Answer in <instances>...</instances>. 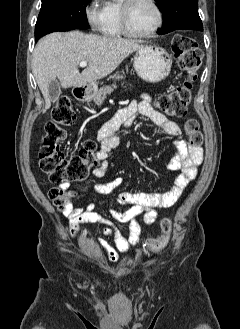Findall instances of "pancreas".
<instances>
[{"label":"pancreas","instance_id":"pancreas-1","mask_svg":"<svg viewBox=\"0 0 240 329\" xmlns=\"http://www.w3.org/2000/svg\"><path fill=\"white\" fill-rule=\"evenodd\" d=\"M115 88V84H112L111 86L101 87L93 97V101L95 102V104L101 106L103 104V101L106 99V96L111 94Z\"/></svg>","mask_w":240,"mask_h":329}]
</instances>
